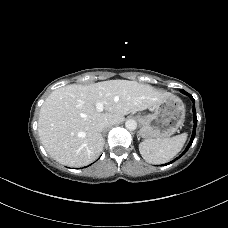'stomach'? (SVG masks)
Wrapping results in <instances>:
<instances>
[{
    "instance_id": "obj_1",
    "label": "stomach",
    "mask_w": 228,
    "mask_h": 228,
    "mask_svg": "<svg viewBox=\"0 0 228 228\" xmlns=\"http://www.w3.org/2000/svg\"><path fill=\"white\" fill-rule=\"evenodd\" d=\"M151 109L153 113L139 116L143 138L159 140L170 137L184 122V104L175 95L170 94Z\"/></svg>"
}]
</instances>
